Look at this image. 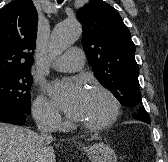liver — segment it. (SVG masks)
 Segmentation results:
<instances>
[{"instance_id":"6515ba94","label":"liver","mask_w":168,"mask_h":162,"mask_svg":"<svg viewBox=\"0 0 168 162\" xmlns=\"http://www.w3.org/2000/svg\"><path fill=\"white\" fill-rule=\"evenodd\" d=\"M50 143L27 128L0 123V162H56Z\"/></svg>"}]
</instances>
